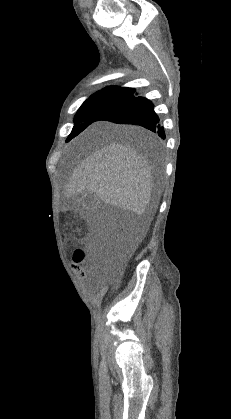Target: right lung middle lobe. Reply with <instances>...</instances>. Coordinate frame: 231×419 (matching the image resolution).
I'll list each match as a JSON object with an SVG mask.
<instances>
[{
  "label": "right lung middle lobe",
  "instance_id": "1",
  "mask_svg": "<svg viewBox=\"0 0 231 419\" xmlns=\"http://www.w3.org/2000/svg\"><path fill=\"white\" fill-rule=\"evenodd\" d=\"M134 92L135 89L132 88L108 87L92 95L75 115V125L67 141L97 121L101 115L129 99Z\"/></svg>",
  "mask_w": 231,
  "mask_h": 419
}]
</instances>
